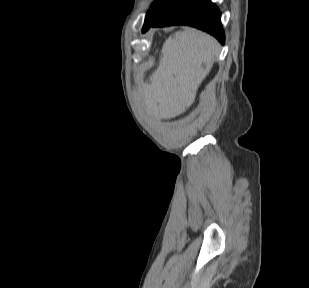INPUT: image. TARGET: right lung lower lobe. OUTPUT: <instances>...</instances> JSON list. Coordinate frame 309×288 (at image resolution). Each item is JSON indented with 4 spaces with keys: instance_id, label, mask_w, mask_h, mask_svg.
Masks as SVG:
<instances>
[{
    "instance_id": "1",
    "label": "right lung lower lobe",
    "mask_w": 309,
    "mask_h": 288,
    "mask_svg": "<svg viewBox=\"0 0 309 288\" xmlns=\"http://www.w3.org/2000/svg\"><path fill=\"white\" fill-rule=\"evenodd\" d=\"M170 25L193 26L213 35L221 44L225 42L221 13L210 0H183L152 25L143 28L142 32H146L150 27Z\"/></svg>"
}]
</instances>
